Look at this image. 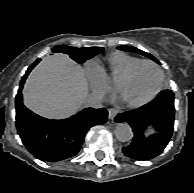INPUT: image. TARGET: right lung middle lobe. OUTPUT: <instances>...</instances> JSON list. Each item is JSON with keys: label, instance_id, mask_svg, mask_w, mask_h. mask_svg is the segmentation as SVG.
Returning a JSON list of instances; mask_svg holds the SVG:
<instances>
[{"label": "right lung middle lobe", "instance_id": "dd1d6c3e", "mask_svg": "<svg viewBox=\"0 0 194 193\" xmlns=\"http://www.w3.org/2000/svg\"><path fill=\"white\" fill-rule=\"evenodd\" d=\"M52 50L53 52H62L64 54H68L74 61L78 63H83L86 60L102 52L103 48L102 47L76 48L69 47L67 45H60L54 47Z\"/></svg>", "mask_w": 194, "mask_h": 193}]
</instances>
